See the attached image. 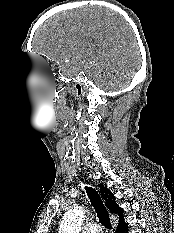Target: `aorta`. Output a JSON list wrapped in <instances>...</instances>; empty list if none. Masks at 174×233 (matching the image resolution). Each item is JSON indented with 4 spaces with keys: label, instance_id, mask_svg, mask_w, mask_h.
Returning <instances> with one entry per match:
<instances>
[{
    "label": "aorta",
    "instance_id": "aorta-1",
    "mask_svg": "<svg viewBox=\"0 0 174 233\" xmlns=\"http://www.w3.org/2000/svg\"><path fill=\"white\" fill-rule=\"evenodd\" d=\"M84 214L82 206L69 209L62 218L59 233H80Z\"/></svg>",
    "mask_w": 174,
    "mask_h": 233
}]
</instances>
